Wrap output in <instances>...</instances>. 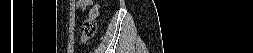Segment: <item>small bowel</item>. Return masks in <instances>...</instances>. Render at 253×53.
<instances>
[{
  "instance_id": "c3829d8e",
  "label": "small bowel",
  "mask_w": 253,
  "mask_h": 53,
  "mask_svg": "<svg viewBox=\"0 0 253 53\" xmlns=\"http://www.w3.org/2000/svg\"><path fill=\"white\" fill-rule=\"evenodd\" d=\"M93 1L91 0H77L75 1L76 8L78 10L84 11L87 7L92 5Z\"/></svg>"
}]
</instances>
